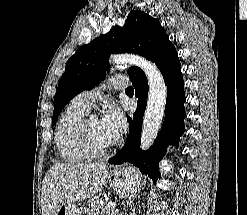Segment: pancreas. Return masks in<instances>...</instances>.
I'll return each instance as SVG.
<instances>
[{"label":"pancreas","mask_w":247,"mask_h":215,"mask_svg":"<svg viewBox=\"0 0 247 215\" xmlns=\"http://www.w3.org/2000/svg\"><path fill=\"white\" fill-rule=\"evenodd\" d=\"M87 215H116L114 208L109 207L106 202L94 201L84 208Z\"/></svg>","instance_id":"obj_1"}]
</instances>
